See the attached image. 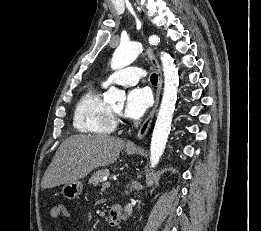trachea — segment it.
<instances>
[{
  "mask_svg": "<svg viewBox=\"0 0 261 231\" xmlns=\"http://www.w3.org/2000/svg\"><path fill=\"white\" fill-rule=\"evenodd\" d=\"M150 81H151L152 84L156 85L157 82H158L157 74H152L151 77H150Z\"/></svg>",
  "mask_w": 261,
  "mask_h": 231,
  "instance_id": "1",
  "label": "trachea"
}]
</instances>
